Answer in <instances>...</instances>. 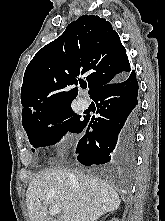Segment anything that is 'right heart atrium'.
Returning <instances> with one entry per match:
<instances>
[{
  "instance_id": "obj_1",
  "label": "right heart atrium",
  "mask_w": 165,
  "mask_h": 221,
  "mask_svg": "<svg viewBox=\"0 0 165 221\" xmlns=\"http://www.w3.org/2000/svg\"><path fill=\"white\" fill-rule=\"evenodd\" d=\"M69 137V133L67 131H64L60 134L59 138H58V144L62 145L66 142V140Z\"/></svg>"
}]
</instances>
